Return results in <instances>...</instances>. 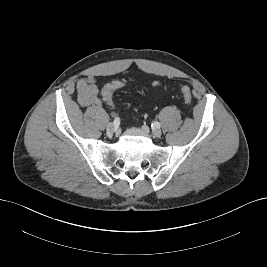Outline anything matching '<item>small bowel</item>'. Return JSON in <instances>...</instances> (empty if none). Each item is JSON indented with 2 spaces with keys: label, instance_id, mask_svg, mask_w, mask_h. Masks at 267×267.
I'll return each instance as SVG.
<instances>
[{
  "label": "small bowel",
  "instance_id": "c3829d8e",
  "mask_svg": "<svg viewBox=\"0 0 267 267\" xmlns=\"http://www.w3.org/2000/svg\"><path fill=\"white\" fill-rule=\"evenodd\" d=\"M161 83L155 81L154 87L160 86ZM78 102L83 107L88 106H100L102 105V99L99 95V89L97 81L93 78L81 79L77 83Z\"/></svg>",
  "mask_w": 267,
  "mask_h": 267
}]
</instances>
